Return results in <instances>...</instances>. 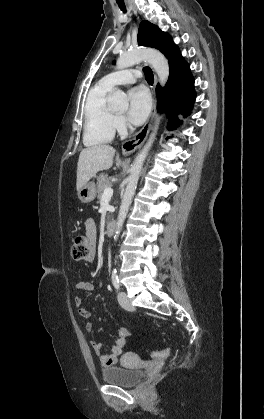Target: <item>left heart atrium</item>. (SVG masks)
<instances>
[{
    "label": "left heart atrium",
    "mask_w": 264,
    "mask_h": 419,
    "mask_svg": "<svg viewBox=\"0 0 264 419\" xmlns=\"http://www.w3.org/2000/svg\"><path fill=\"white\" fill-rule=\"evenodd\" d=\"M151 98L144 88H133L129 92V119L134 124L143 123L149 115Z\"/></svg>",
    "instance_id": "obj_1"
}]
</instances>
